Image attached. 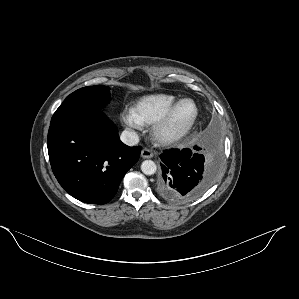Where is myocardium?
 <instances>
[{
	"label": "myocardium",
	"mask_w": 299,
	"mask_h": 299,
	"mask_svg": "<svg viewBox=\"0 0 299 299\" xmlns=\"http://www.w3.org/2000/svg\"><path fill=\"white\" fill-rule=\"evenodd\" d=\"M184 103H191L195 108V112L191 121L184 128L180 130H174V131L169 130L168 126L170 124L173 114ZM198 116H199V108L196 102L189 98L181 99L175 102L173 105H171L162 114V116L153 123L152 136L154 140L159 144L162 145L173 144L179 141L184 136H186L191 131V129L193 128V126L195 125L198 119Z\"/></svg>",
	"instance_id": "myocardium-1"
}]
</instances>
